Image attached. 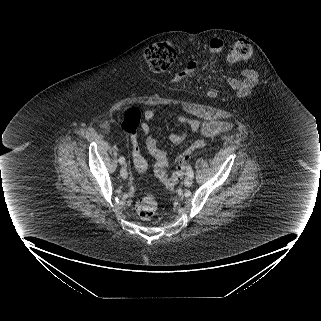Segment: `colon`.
Returning a JSON list of instances; mask_svg holds the SVG:
<instances>
[{
    "instance_id": "5ec220e1",
    "label": "colon",
    "mask_w": 321,
    "mask_h": 321,
    "mask_svg": "<svg viewBox=\"0 0 321 321\" xmlns=\"http://www.w3.org/2000/svg\"><path fill=\"white\" fill-rule=\"evenodd\" d=\"M252 46L247 40H238L231 48L227 61L230 64L242 62L250 57ZM145 60L149 67L157 73H163L169 70L173 64L176 51L170 43H158L150 45L144 53ZM141 120V110L138 107H126L120 114V126L128 133H134ZM133 162L138 172H143L147 168L145 158L139 152L138 146L133 141ZM188 159L183 158L178 169L174 174L167 177L165 174H158L165 186L174 187L183 177ZM157 210V202L152 195H147L139 199L136 203V211L139 217L144 221H150Z\"/></svg>"
}]
</instances>
